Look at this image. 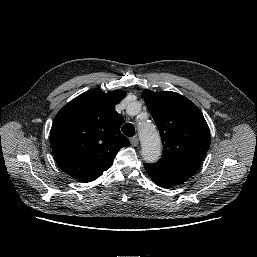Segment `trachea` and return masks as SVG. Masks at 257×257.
I'll list each match as a JSON object with an SVG mask.
<instances>
[{
  "label": "trachea",
  "instance_id": "3493384b",
  "mask_svg": "<svg viewBox=\"0 0 257 257\" xmlns=\"http://www.w3.org/2000/svg\"><path fill=\"white\" fill-rule=\"evenodd\" d=\"M121 130L128 137H132L135 134V127L131 123L124 124Z\"/></svg>",
  "mask_w": 257,
  "mask_h": 257
}]
</instances>
